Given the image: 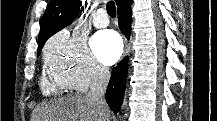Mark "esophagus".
Wrapping results in <instances>:
<instances>
[{
	"label": "esophagus",
	"instance_id": "obj_1",
	"mask_svg": "<svg viewBox=\"0 0 217 121\" xmlns=\"http://www.w3.org/2000/svg\"><path fill=\"white\" fill-rule=\"evenodd\" d=\"M130 48L128 43H126V48H125V55L127 56L129 54Z\"/></svg>",
	"mask_w": 217,
	"mask_h": 121
}]
</instances>
